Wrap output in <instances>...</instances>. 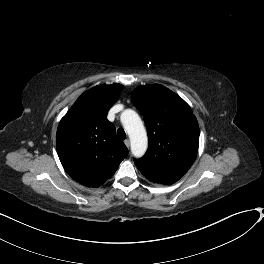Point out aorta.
<instances>
[{
  "mask_svg": "<svg viewBox=\"0 0 264 264\" xmlns=\"http://www.w3.org/2000/svg\"><path fill=\"white\" fill-rule=\"evenodd\" d=\"M120 119L129 135L132 154L142 157L147 150L148 139L141 118L134 110L126 109L121 113Z\"/></svg>",
  "mask_w": 264,
  "mask_h": 264,
  "instance_id": "aorta-1",
  "label": "aorta"
}]
</instances>
